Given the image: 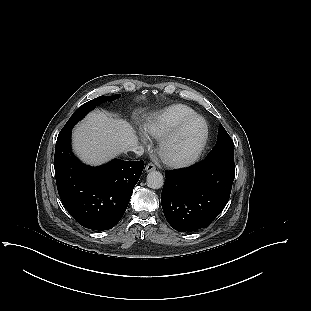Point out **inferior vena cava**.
<instances>
[{
	"mask_svg": "<svg viewBox=\"0 0 311 311\" xmlns=\"http://www.w3.org/2000/svg\"><path fill=\"white\" fill-rule=\"evenodd\" d=\"M124 152H134L137 156H141L143 155L144 150L137 143H129Z\"/></svg>",
	"mask_w": 311,
	"mask_h": 311,
	"instance_id": "1",
	"label": "inferior vena cava"
}]
</instances>
